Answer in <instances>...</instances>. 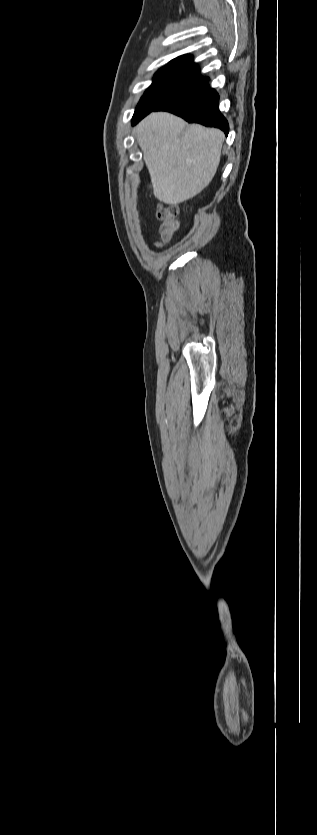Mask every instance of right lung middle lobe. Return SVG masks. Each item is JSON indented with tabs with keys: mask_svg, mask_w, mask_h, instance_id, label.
<instances>
[{
	"mask_svg": "<svg viewBox=\"0 0 317 835\" xmlns=\"http://www.w3.org/2000/svg\"><path fill=\"white\" fill-rule=\"evenodd\" d=\"M206 81L207 79L197 73V67L191 61L171 63L161 68L156 73L152 85L141 98L132 124H136L153 109L201 86Z\"/></svg>",
	"mask_w": 317,
	"mask_h": 835,
	"instance_id": "dd1d6c3e",
	"label": "right lung middle lobe"
}]
</instances>
